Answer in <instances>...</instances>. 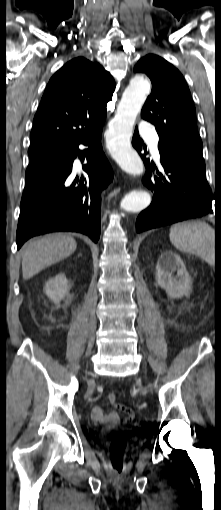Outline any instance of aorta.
Wrapping results in <instances>:
<instances>
[{"label": "aorta", "instance_id": "1", "mask_svg": "<svg viewBox=\"0 0 221 510\" xmlns=\"http://www.w3.org/2000/svg\"><path fill=\"white\" fill-rule=\"evenodd\" d=\"M150 93V83L143 76H135L125 89L117 112L109 124L107 146L112 157L123 171L138 176L144 173V165L138 153L132 149L130 137L138 113ZM151 203V196L143 190H133L121 201V209L140 212Z\"/></svg>", "mask_w": 221, "mask_h": 510}]
</instances>
